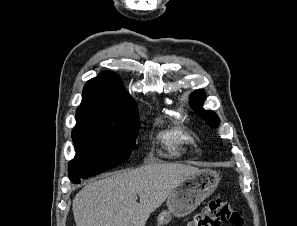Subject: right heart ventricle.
Wrapping results in <instances>:
<instances>
[{
  "mask_svg": "<svg viewBox=\"0 0 297 226\" xmlns=\"http://www.w3.org/2000/svg\"><path fill=\"white\" fill-rule=\"evenodd\" d=\"M162 139L168 144L171 155H180L183 146L191 141V136L181 129H174L163 133Z\"/></svg>",
  "mask_w": 297,
  "mask_h": 226,
  "instance_id": "obj_1",
  "label": "right heart ventricle"
}]
</instances>
